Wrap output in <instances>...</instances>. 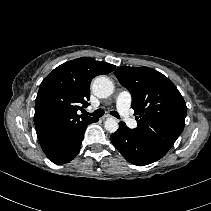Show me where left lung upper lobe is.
<instances>
[{
    "label": "left lung upper lobe",
    "instance_id": "5c2ea615",
    "mask_svg": "<svg viewBox=\"0 0 211 211\" xmlns=\"http://www.w3.org/2000/svg\"><path fill=\"white\" fill-rule=\"evenodd\" d=\"M114 73L132 95L136 131L166 154L185 125L187 107L182 95L166 76L149 67L122 66Z\"/></svg>",
    "mask_w": 211,
    "mask_h": 211
}]
</instances>
